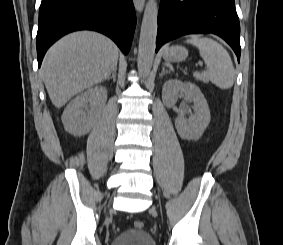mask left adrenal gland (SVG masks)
Returning <instances> with one entry per match:
<instances>
[{
	"mask_svg": "<svg viewBox=\"0 0 283 245\" xmlns=\"http://www.w3.org/2000/svg\"><path fill=\"white\" fill-rule=\"evenodd\" d=\"M165 73H170V71L166 70L165 67H162V71L160 73V77H162Z\"/></svg>",
	"mask_w": 283,
	"mask_h": 245,
	"instance_id": "1",
	"label": "left adrenal gland"
}]
</instances>
